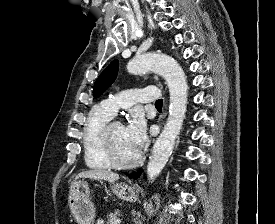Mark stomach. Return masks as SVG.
<instances>
[{"instance_id":"obj_1","label":"stomach","mask_w":275,"mask_h":224,"mask_svg":"<svg viewBox=\"0 0 275 224\" xmlns=\"http://www.w3.org/2000/svg\"><path fill=\"white\" fill-rule=\"evenodd\" d=\"M111 188L112 192L122 200L135 202L138 199V189L134 185L116 183ZM68 205L78 224L94 223L96 210L90 199V190L86 181L75 180L71 183Z\"/></svg>"}]
</instances>
